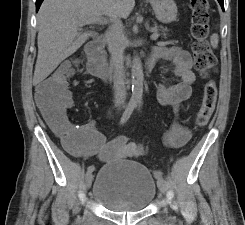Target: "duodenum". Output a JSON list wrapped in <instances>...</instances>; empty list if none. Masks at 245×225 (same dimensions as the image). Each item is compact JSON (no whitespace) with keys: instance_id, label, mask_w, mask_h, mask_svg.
Here are the masks:
<instances>
[{"instance_id":"obj_1","label":"duodenum","mask_w":245,"mask_h":225,"mask_svg":"<svg viewBox=\"0 0 245 225\" xmlns=\"http://www.w3.org/2000/svg\"><path fill=\"white\" fill-rule=\"evenodd\" d=\"M102 44V40L98 39L88 43L86 46L89 72L97 77H110L111 79L126 81L128 78V73L124 71V69L106 64ZM157 58L158 56L154 52L149 53L144 59V68L149 70Z\"/></svg>"}]
</instances>
